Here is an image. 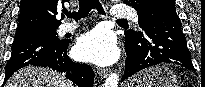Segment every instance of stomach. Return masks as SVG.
<instances>
[{"instance_id": "1", "label": "stomach", "mask_w": 205, "mask_h": 87, "mask_svg": "<svg viewBox=\"0 0 205 87\" xmlns=\"http://www.w3.org/2000/svg\"><path fill=\"white\" fill-rule=\"evenodd\" d=\"M125 87H178V81L172 70L164 65H157L134 75Z\"/></svg>"}]
</instances>
